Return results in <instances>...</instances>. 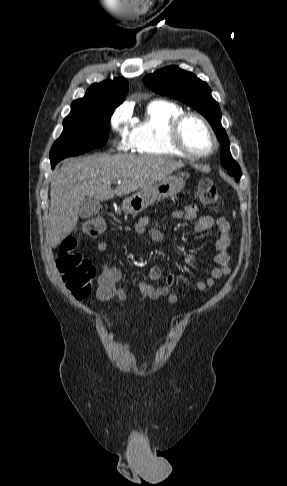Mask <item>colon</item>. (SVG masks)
Instances as JSON below:
<instances>
[{
  "mask_svg": "<svg viewBox=\"0 0 287 486\" xmlns=\"http://www.w3.org/2000/svg\"><path fill=\"white\" fill-rule=\"evenodd\" d=\"M198 195L201 203L207 208L215 212L222 210L223 200L217 187L210 179L199 181ZM105 228V220L102 217L95 216L83 223L82 232L88 237H98L104 232ZM76 246L77 240L75 238L66 239L61 245L56 264L66 287L76 299L82 300L90 295L97 272L89 260L75 251Z\"/></svg>",
  "mask_w": 287,
  "mask_h": 486,
  "instance_id": "colon-1",
  "label": "colon"
}]
</instances>
